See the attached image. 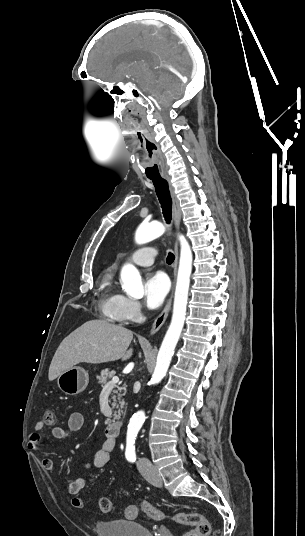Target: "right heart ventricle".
Segmentation results:
<instances>
[{
    "mask_svg": "<svg viewBox=\"0 0 305 536\" xmlns=\"http://www.w3.org/2000/svg\"><path fill=\"white\" fill-rule=\"evenodd\" d=\"M123 296L119 294L115 287L113 276L110 273H105L102 277L98 302L103 308L109 319L115 322H123L122 315L119 312V306Z\"/></svg>",
    "mask_w": 305,
    "mask_h": 536,
    "instance_id": "right-heart-ventricle-1",
    "label": "right heart ventricle"
}]
</instances>
